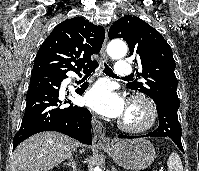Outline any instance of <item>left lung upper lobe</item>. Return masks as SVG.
Returning <instances> with one entry per match:
<instances>
[{
  "instance_id": "1",
  "label": "left lung upper lobe",
  "mask_w": 199,
  "mask_h": 171,
  "mask_svg": "<svg viewBox=\"0 0 199 171\" xmlns=\"http://www.w3.org/2000/svg\"><path fill=\"white\" fill-rule=\"evenodd\" d=\"M109 38L124 39L130 56L143 68L146 82H130L129 89L148 95L156 104L180 106L172 49L156 29L136 16H125L110 27Z\"/></svg>"
}]
</instances>
